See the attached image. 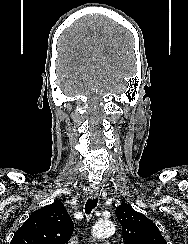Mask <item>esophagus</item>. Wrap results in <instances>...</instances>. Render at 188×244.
Wrapping results in <instances>:
<instances>
[{"instance_id": "obj_1", "label": "esophagus", "mask_w": 188, "mask_h": 244, "mask_svg": "<svg viewBox=\"0 0 188 244\" xmlns=\"http://www.w3.org/2000/svg\"><path fill=\"white\" fill-rule=\"evenodd\" d=\"M99 195L98 190H90V197L95 198Z\"/></svg>"}]
</instances>
